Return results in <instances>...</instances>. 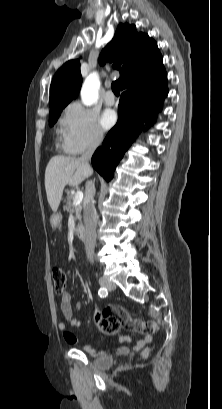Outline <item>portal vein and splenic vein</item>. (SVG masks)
Here are the masks:
<instances>
[{
	"mask_svg": "<svg viewBox=\"0 0 222 409\" xmlns=\"http://www.w3.org/2000/svg\"><path fill=\"white\" fill-rule=\"evenodd\" d=\"M82 200H83V193L81 191H77L74 196L73 204L79 205L82 202Z\"/></svg>",
	"mask_w": 222,
	"mask_h": 409,
	"instance_id": "1",
	"label": "portal vein and splenic vein"
}]
</instances>
